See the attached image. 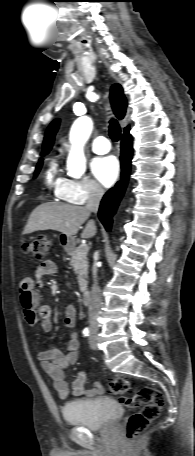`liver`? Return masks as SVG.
<instances>
[{
  "label": "liver",
  "instance_id": "1",
  "mask_svg": "<svg viewBox=\"0 0 195 456\" xmlns=\"http://www.w3.org/2000/svg\"><path fill=\"white\" fill-rule=\"evenodd\" d=\"M89 216L90 212L85 207L55 202L43 203L32 211L23 233L55 230L71 237L78 233L80 226ZM96 232L95 222L89 220L81 237L91 238L95 236Z\"/></svg>",
  "mask_w": 195,
  "mask_h": 456
}]
</instances>
